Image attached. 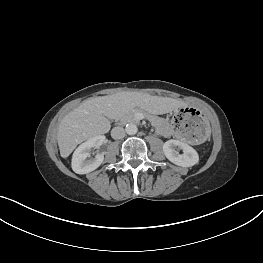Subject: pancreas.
Wrapping results in <instances>:
<instances>
[{"label": "pancreas", "mask_w": 263, "mask_h": 263, "mask_svg": "<svg viewBox=\"0 0 263 263\" xmlns=\"http://www.w3.org/2000/svg\"><path fill=\"white\" fill-rule=\"evenodd\" d=\"M137 112H141L140 109H134V110H131V111H128L127 113H125L121 118V122H127V121H136V118H135V114ZM146 118L151 122V124L158 128L161 124V120L156 117V116H153V115H150V114H146Z\"/></svg>", "instance_id": "obj_1"}]
</instances>
